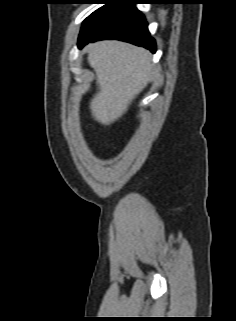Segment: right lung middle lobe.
<instances>
[{
    "instance_id": "obj_1",
    "label": "right lung middle lobe",
    "mask_w": 236,
    "mask_h": 321,
    "mask_svg": "<svg viewBox=\"0 0 236 321\" xmlns=\"http://www.w3.org/2000/svg\"><path fill=\"white\" fill-rule=\"evenodd\" d=\"M105 4H107V3H105ZM101 9V8H100ZM99 10V9H98ZM98 10H96L95 12H93L89 17H87L86 19H85V21L83 22V24H82V27L94 16V14L98 11Z\"/></svg>"
}]
</instances>
